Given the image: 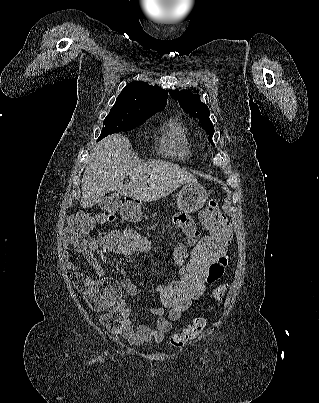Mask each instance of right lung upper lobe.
Segmentation results:
<instances>
[{
    "instance_id": "cb5924a9",
    "label": "right lung upper lobe",
    "mask_w": 319,
    "mask_h": 403,
    "mask_svg": "<svg viewBox=\"0 0 319 403\" xmlns=\"http://www.w3.org/2000/svg\"><path fill=\"white\" fill-rule=\"evenodd\" d=\"M168 92L145 82H131L116 99L112 110L122 111L133 117H150L165 108Z\"/></svg>"
}]
</instances>
